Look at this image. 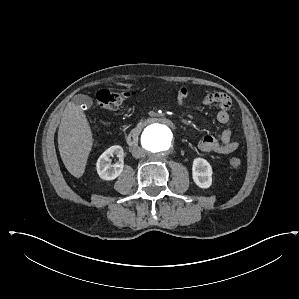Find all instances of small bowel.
Masks as SVG:
<instances>
[{"instance_id": "small-bowel-1", "label": "small bowel", "mask_w": 299, "mask_h": 299, "mask_svg": "<svg viewBox=\"0 0 299 299\" xmlns=\"http://www.w3.org/2000/svg\"><path fill=\"white\" fill-rule=\"evenodd\" d=\"M187 95L186 88L179 89L177 94L179 105L184 104ZM202 104L207 107L217 108L216 119L221 125L227 126L230 123L231 99L228 95L220 92L208 94L203 98ZM238 146V142L232 140V131L229 128H225L218 139L213 136H205L198 143L200 151L220 155L231 154L237 150Z\"/></svg>"}]
</instances>
